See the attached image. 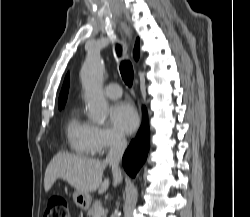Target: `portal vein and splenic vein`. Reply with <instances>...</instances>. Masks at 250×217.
Listing matches in <instances>:
<instances>
[{"instance_id": "portal-vein-and-splenic-vein-1", "label": "portal vein and splenic vein", "mask_w": 250, "mask_h": 217, "mask_svg": "<svg viewBox=\"0 0 250 217\" xmlns=\"http://www.w3.org/2000/svg\"><path fill=\"white\" fill-rule=\"evenodd\" d=\"M105 210L104 208L101 206L99 207L96 211H95V215L94 217H101L102 215H104Z\"/></svg>"}]
</instances>
